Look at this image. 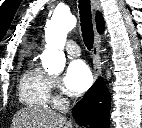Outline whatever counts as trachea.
<instances>
[{"mask_svg":"<svg viewBox=\"0 0 142 128\" xmlns=\"http://www.w3.org/2000/svg\"><path fill=\"white\" fill-rule=\"evenodd\" d=\"M78 2L83 41L87 49L91 50L94 41V32L90 0H78Z\"/></svg>","mask_w":142,"mask_h":128,"instance_id":"obj_1","label":"trachea"}]
</instances>
